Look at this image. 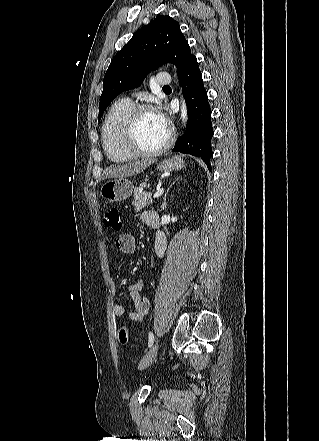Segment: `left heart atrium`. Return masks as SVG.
I'll list each match as a JSON object with an SVG mask.
<instances>
[{
	"label": "left heart atrium",
	"mask_w": 319,
	"mask_h": 441,
	"mask_svg": "<svg viewBox=\"0 0 319 441\" xmlns=\"http://www.w3.org/2000/svg\"><path fill=\"white\" fill-rule=\"evenodd\" d=\"M157 115L163 123L167 124V120L162 113H157Z\"/></svg>",
	"instance_id": "1"
}]
</instances>
